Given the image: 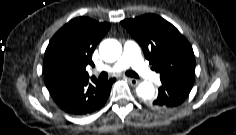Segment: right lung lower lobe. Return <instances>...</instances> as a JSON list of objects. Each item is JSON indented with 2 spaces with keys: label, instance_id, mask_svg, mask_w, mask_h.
<instances>
[{
  "label": "right lung lower lobe",
  "instance_id": "1",
  "mask_svg": "<svg viewBox=\"0 0 236 135\" xmlns=\"http://www.w3.org/2000/svg\"><path fill=\"white\" fill-rule=\"evenodd\" d=\"M46 87L57 105L71 115H87L102 108L107 101L115 78L98 81L92 77L75 76L55 71L44 75Z\"/></svg>",
  "mask_w": 236,
  "mask_h": 135
}]
</instances>
